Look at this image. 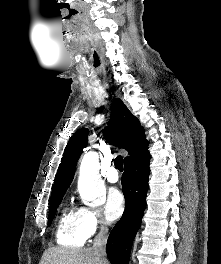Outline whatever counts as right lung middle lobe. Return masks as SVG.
Here are the masks:
<instances>
[{
    "instance_id": "obj_1",
    "label": "right lung middle lobe",
    "mask_w": 221,
    "mask_h": 264,
    "mask_svg": "<svg viewBox=\"0 0 221 264\" xmlns=\"http://www.w3.org/2000/svg\"><path fill=\"white\" fill-rule=\"evenodd\" d=\"M64 194H60L52 199H50V207H49V221H48V225L50 226L54 215H55V211L57 209V207L59 206L62 198H63Z\"/></svg>"
}]
</instances>
